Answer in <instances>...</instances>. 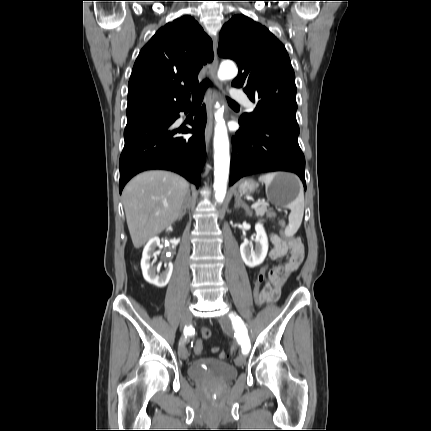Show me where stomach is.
Returning a JSON list of instances; mask_svg holds the SVG:
<instances>
[{
  "label": "stomach",
  "instance_id": "0dacf381",
  "mask_svg": "<svg viewBox=\"0 0 431 431\" xmlns=\"http://www.w3.org/2000/svg\"><path fill=\"white\" fill-rule=\"evenodd\" d=\"M258 188V184L251 180L243 181L239 187L240 195H250ZM301 190L299 179L291 173L279 172L269 185H266L268 200L280 207H287L296 200Z\"/></svg>",
  "mask_w": 431,
  "mask_h": 431
}]
</instances>
